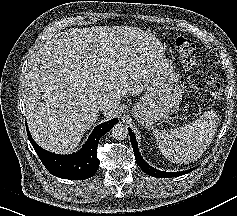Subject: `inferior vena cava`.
Masks as SVG:
<instances>
[{"label": "inferior vena cava", "instance_id": "obj_1", "mask_svg": "<svg viewBox=\"0 0 237 216\" xmlns=\"http://www.w3.org/2000/svg\"><path fill=\"white\" fill-rule=\"evenodd\" d=\"M119 104L112 103L109 100H99L98 108L100 111L116 110Z\"/></svg>", "mask_w": 237, "mask_h": 216}]
</instances>
